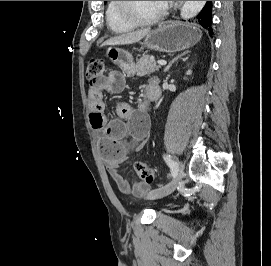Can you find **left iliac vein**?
Listing matches in <instances>:
<instances>
[{
    "label": "left iliac vein",
    "instance_id": "left-iliac-vein-1",
    "mask_svg": "<svg viewBox=\"0 0 271 266\" xmlns=\"http://www.w3.org/2000/svg\"><path fill=\"white\" fill-rule=\"evenodd\" d=\"M176 168H177V174L174 177V179L166 186L161 187L159 189L152 190L151 192H149L147 195V199L154 200V199L163 198V197L171 194L177 188V186L179 185V183L183 179L184 171H183V167L179 161L176 162Z\"/></svg>",
    "mask_w": 271,
    "mask_h": 266
}]
</instances>
